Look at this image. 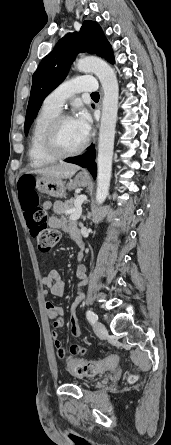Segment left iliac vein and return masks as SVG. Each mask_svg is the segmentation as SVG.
Here are the masks:
<instances>
[{
    "label": "left iliac vein",
    "instance_id": "1",
    "mask_svg": "<svg viewBox=\"0 0 171 445\" xmlns=\"http://www.w3.org/2000/svg\"><path fill=\"white\" fill-rule=\"evenodd\" d=\"M94 332H95L98 336L104 337V336H106V334H107V329H106V327H105V325H104L103 323H101V322H97V323L94 325Z\"/></svg>",
    "mask_w": 171,
    "mask_h": 445
}]
</instances>
